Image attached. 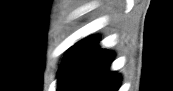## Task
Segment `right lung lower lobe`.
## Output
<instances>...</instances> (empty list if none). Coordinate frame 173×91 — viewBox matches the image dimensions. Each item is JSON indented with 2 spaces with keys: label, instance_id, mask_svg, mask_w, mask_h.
<instances>
[{
  "label": "right lung lower lobe",
  "instance_id": "right-lung-lower-lobe-1",
  "mask_svg": "<svg viewBox=\"0 0 173 91\" xmlns=\"http://www.w3.org/2000/svg\"><path fill=\"white\" fill-rule=\"evenodd\" d=\"M97 36L88 37L65 54L58 74L57 91H117L120 75L109 71L112 52L98 47Z\"/></svg>",
  "mask_w": 173,
  "mask_h": 91
}]
</instances>
